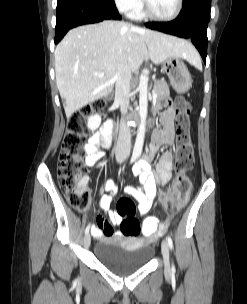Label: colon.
<instances>
[{
	"instance_id": "obj_1",
	"label": "colon",
	"mask_w": 247,
	"mask_h": 304,
	"mask_svg": "<svg viewBox=\"0 0 247 304\" xmlns=\"http://www.w3.org/2000/svg\"><path fill=\"white\" fill-rule=\"evenodd\" d=\"M105 103L96 102L89 109L73 113L67 122V130L61 146L57 177L59 186L74 209L83 211L88 205L89 195L86 188V166L83 159L87 137V121L92 114L103 115ZM190 105L182 96L176 98V166L177 176L172 189L161 195L162 200L172 205H182L188 196L189 178L187 173L194 166V148L190 134ZM135 205L129 198H120L117 214L122 218L121 232L125 236H137L142 231V238H153L160 226L156 219L148 218L143 227L135 218Z\"/></svg>"
}]
</instances>
